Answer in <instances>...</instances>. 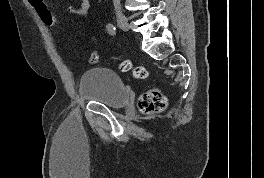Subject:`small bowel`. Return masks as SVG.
I'll use <instances>...</instances> for the list:
<instances>
[{"mask_svg":"<svg viewBox=\"0 0 264 178\" xmlns=\"http://www.w3.org/2000/svg\"><path fill=\"white\" fill-rule=\"evenodd\" d=\"M90 8V0H80L77 5H71L66 9V13L84 17Z\"/></svg>","mask_w":264,"mask_h":178,"instance_id":"small-bowel-1","label":"small bowel"}]
</instances>
